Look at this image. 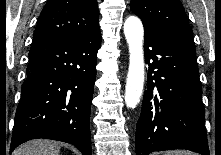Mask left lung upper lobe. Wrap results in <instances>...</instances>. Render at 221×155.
Returning a JSON list of instances; mask_svg holds the SVG:
<instances>
[{"label":"left lung upper lobe","instance_id":"5c2ea615","mask_svg":"<svg viewBox=\"0 0 221 155\" xmlns=\"http://www.w3.org/2000/svg\"><path fill=\"white\" fill-rule=\"evenodd\" d=\"M130 8L140 17L144 28L194 46L192 29L180 0H131Z\"/></svg>","mask_w":221,"mask_h":155}]
</instances>
